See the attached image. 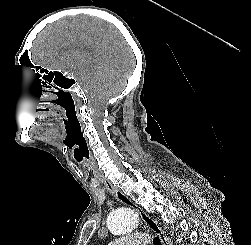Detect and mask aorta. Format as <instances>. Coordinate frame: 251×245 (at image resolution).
Returning <instances> with one entry per match:
<instances>
[{
  "mask_svg": "<svg viewBox=\"0 0 251 245\" xmlns=\"http://www.w3.org/2000/svg\"><path fill=\"white\" fill-rule=\"evenodd\" d=\"M138 225L137 214L130 208H119L111 212L107 219L109 231L114 235L131 233Z\"/></svg>",
  "mask_w": 251,
  "mask_h": 245,
  "instance_id": "1",
  "label": "aorta"
}]
</instances>
